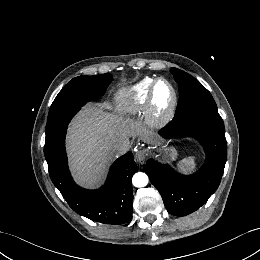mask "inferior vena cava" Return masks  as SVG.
Listing matches in <instances>:
<instances>
[{"instance_id": "inferior-vena-cava-1", "label": "inferior vena cava", "mask_w": 260, "mask_h": 260, "mask_svg": "<svg viewBox=\"0 0 260 260\" xmlns=\"http://www.w3.org/2000/svg\"><path fill=\"white\" fill-rule=\"evenodd\" d=\"M130 148V141L127 136L119 137L113 144L112 149L118 155L126 153Z\"/></svg>"}]
</instances>
